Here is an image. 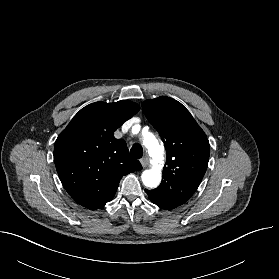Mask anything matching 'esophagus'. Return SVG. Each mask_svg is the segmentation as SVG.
I'll return each mask as SVG.
<instances>
[{"instance_id": "esophagus-1", "label": "esophagus", "mask_w": 279, "mask_h": 279, "mask_svg": "<svg viewBox=\"0 0 279 279\" xmlns=\"http://www.w3.org/2000/svg\"><path fill=\"white\" fill-rule=\"evenodd\" d=\"M140 162H141V165L143 166V168H145V167H147L148 164H149V159H148V157H143V158L140 160Z\"/></svg>"}]
</instances>
